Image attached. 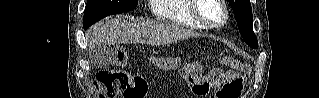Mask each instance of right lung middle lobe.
<instances>
[{
  "mask_svg": "<svg viewBox=\"0 0 319 98\" xmlns=\"http://www.w3.org/2000/svg\"><path fill=\"white\" fill-rule=\"evenodd\" d=\"M137 6V0H88L84 11V27L100 19L130 11Z\"/></svg>",
  "mask_w": 319,
  "mask_h": 98,
  "instance_id": "right-lung-middle-lobe-1",
  "label": "right lung middle lobe"
}]
</instances>
